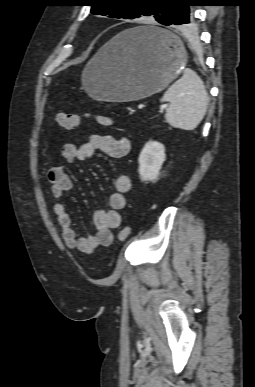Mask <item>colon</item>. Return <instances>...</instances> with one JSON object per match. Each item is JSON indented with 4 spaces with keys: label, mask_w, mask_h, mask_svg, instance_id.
<instances>
[{
    "label": "colon",
    "mask_w": 255,
    "mask_h": 387,
    "mask_svg": "<svg viewBox=\"0 0 255 387\" xmlns=\"http://www.w3.org/2000/svg\"><path fill=\"white\" fill-rule=\"evenodd\" d=\"M93 117L96 122L104 127H111L114 124V120L110 117L100 115V114H91L86 113L84 115L67 113V112H58L55 116V120L59 126L65 129H74L76 128L83 118ZM131 234V228L129 226L123 227L119 234L118 238L120 241H125Z\"/></svg>",
    "instance_id": "1"
}]
</instances>
